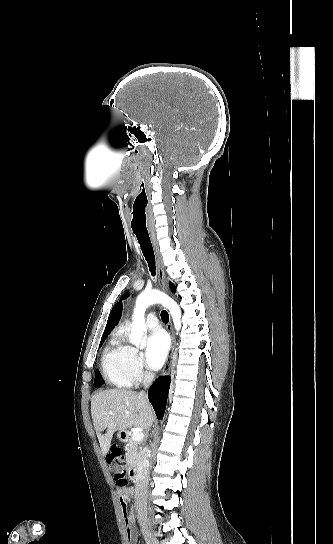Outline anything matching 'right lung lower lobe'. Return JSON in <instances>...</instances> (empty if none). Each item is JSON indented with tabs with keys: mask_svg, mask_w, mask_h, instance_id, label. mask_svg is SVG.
<instances>
[{
	"mask_svg": "<svg viewBox=\"0 0 333 544\" xmlns=\"http://www.w3.org/2000/svg\"><path fill=\"white\" fill-rule=\"evenodd\" d=\"M170 378L159 377L149 388V400L155 410L158 419L163 418L167 396L169 392Z\"/></svg>",
	"mask_w": 333,
	"mask_h": 544,
	"instance_id": "right-lung-lower-lobe-1",
	"label": "right lung lower lobe"
}]
</instances>
